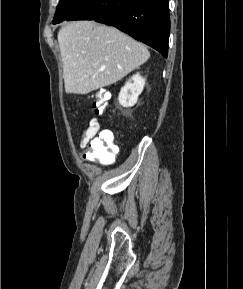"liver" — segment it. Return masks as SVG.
I'll return each mask as SVG.
<instances>
[{"mask_svg": "<svg viewBox=\"0 0 243 289\" xmlns=\"http://www.w3.org/2000/svg\"><path fill=\"white\" fill-rule=\"evenodd\" d=\"M66 93L87 94L144 64L147 47L114 27L75 21L58 33Z\"/></svg>", "mask_w": 243, "mask_h": 289, "instance_id": "liver-1", "label": "liver"}]
</instances>
